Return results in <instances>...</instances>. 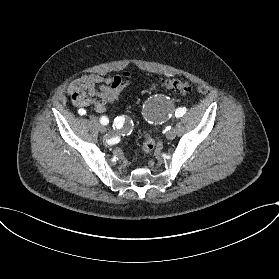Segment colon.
<instances>
[{
	"label": "colon",
	"instance_id": "1",
	"mask_svg": "<svg viewBox=\"0 0 279 279\" xmlns=\"http://www.w3.org/2000/svg\"><path fill=\"white\" fill-rule=\"evenodd\" d=\"M162 87L165 91L174 94L189 93L192 90L191 84L186 79L170 78L162 82ZM155 140L152 136L148 135L144 142V153L151 154L154 151Z\"/></svg>",
	"mask_w": 279,
	"mask_h": 279
}]
</instances>
